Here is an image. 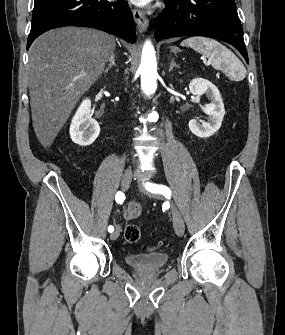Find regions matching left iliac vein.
Returning a JSON list of instances; mask_svg holds the SVG:
<instances>
[{"instance_id": "left-iliac-vein-1", "label": "left iliac vein", "mask_w": 285, "mask_h": 335, "mask_svg": "<svg viewBox=\"0 0 285 335\" xmlns=\"http://www.w3.org/2000/svg\"><path fill=\"white\" fill-rule=\"evenodd\" d=\"M144 185H145V182H139L138 183V187H139V191L140 192H145V189H144ZM155 198H160L161 196L160 195H153ZM172 217H173V226H174V230H175V233L179 236H182L183 233H184V230H185V224H184V220L181 216V214L179 213V211L174 208L172 206Z\"/></svg>"}]
</instances>
